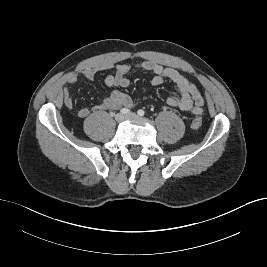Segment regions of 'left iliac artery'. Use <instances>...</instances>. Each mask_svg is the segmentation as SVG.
<instances>
[{
	"instance_id": "left-iliac-artery-1",
	"label": "left iliac artery",
	"mask_w": 267,
	"mask_h": 267,
	"mask_svg": "<svg viewBox=\"0 0 267 267\" xmlns=\"http://www.w3.org/2000/svg\"><path fill=\"white\" fill-rule=\"evenodd\" d=\"M137 114H138L139 116H144L145 112H144L143 110L140 109V110H138Z\"/></svg>"
}]
</instances>
